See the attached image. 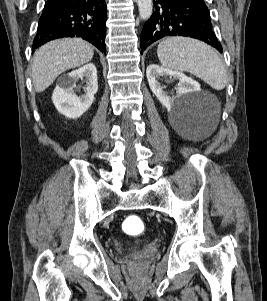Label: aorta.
<instances>
[{
    "mask_svg": "<svg viewBox=\"0 0 267 301\" xmlns=\"http://www.w3.org/2000/svg\"><path fill=\"white\" fill-rule=\"evenodd\" d=\"M139 8V16L142 20H148L153 12L152 0H137Z\"/></svg>",
    "mask_w": 267,
    "mask_h": 301,
    "instance_id": "762f6f07",
    "label": "aorta"
}]
</instances>
